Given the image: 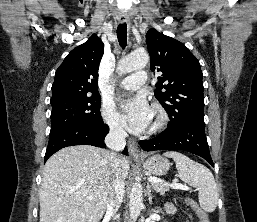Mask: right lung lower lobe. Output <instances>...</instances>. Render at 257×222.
Instances as JSON below:
<instances>
[{"label": "right lung lower lobe", "instance_id": "1", "mask_svg": "<svg viewBox=\"0 0 257 222\" xmlns=\"http://www.w3.org/2000/svg\"><path fill=\"white\" fill-rule=\"evenodd\" d=\"M108 132L109 127L106 124L96 127L66 126L55 131H50L45 162L52 154L67 146L93 145L104 148V138ZM123 153L127 155L126 148Z\"/></svg>", "mask_w": 257, "mask_h": 222}]
</instances>
